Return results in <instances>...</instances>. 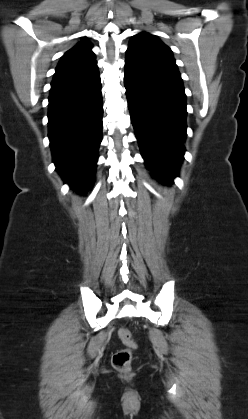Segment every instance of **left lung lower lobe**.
Returning a JSON list of instances; mask_svg holds the SVG:
<instances>
[{
	"label": "left lung lower lobe",
	"instance_id": "1",
	"mask_svg": "<svg viewBox=\"0 0 248 419\" xmlns=\"http://www.w3.org/2000/svg\"><path fill=\"white\" fill-rule=\"evenodd\" d=\"M124 84L131 122L152 175L171 183L185 152L186 95L177 67L126 52Z\"/></svg>",
	"mask_w": 248,
	"mask_h": 419
}]
</instances>
